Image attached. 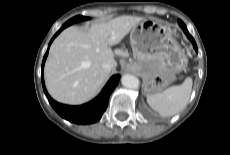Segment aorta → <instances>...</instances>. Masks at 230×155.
<instances>
[{
	"instance_id": "762f6f07",
	"label": "aorta",
	"mask_w": 230,
	"mask_h": 155,
	"mask_svg": "<svg viewBox=\"0 0 230 155\" xmlns=\"http://www.w3.org/2000/svg\"><path fill=\"white\" fill-rule=\"evenodd\" d=\"M121 83L128 89H138L140 85L139 79L131 74H124L121 78Z\"/></svg>"
}]
</instances>
